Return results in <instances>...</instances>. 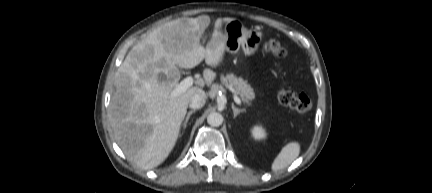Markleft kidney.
Instances as JSON below:
<instances>
[{
	"label": "left kidney",
	"instance_id": "obj_1",
	"mask_svg": "<svg viewBox=\"0 0 432 193\" xmlns=\"http://www.w3.org/2000/svg\"><path fill=\"white\" fill-rule=\"evenodd\" d=\"M251 135L255 140H262V139H265L267 137V133H266L265 129L259 125H255L251 129Z\"/></svg>",
	"mask_w": 432,
	"mask_h": 193
}]
</instances>
